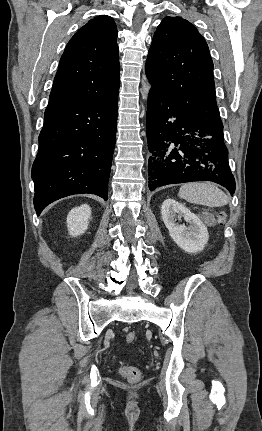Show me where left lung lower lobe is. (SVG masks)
<instances>
[{"label": "left lung lower lobe", "instance_id": "1", "mask_svg": "<svg viewBox=\"0 0 262 431\" xmlns=\"http://www.w3.org/2000/svg\"><path fill=\"white\" fill-rule=\"evenodd\" d=\"M149 188L193 181H212L231 193L235 179L228 163L223 125L199 123L162 92L150 90L147 107Z\"/></svg>", "mask_w": 262, "mask_h": 431}]
</instances>
